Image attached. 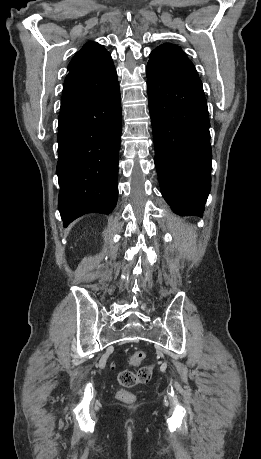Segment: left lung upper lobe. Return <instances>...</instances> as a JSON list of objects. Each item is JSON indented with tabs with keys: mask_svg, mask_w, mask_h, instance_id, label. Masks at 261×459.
<instances>
[{
	"mask_svg": "<svg viewBox=\"0 0 261 459\" xmlns=\"http://www.w3.org/2000/svg\"><path fill=\"white\" fill-rule=\"evenodd\" d=\"M147 65H153L175 74L198 77L193 63L187 58L182 49L170 43H165L153 50Z\"/></svg>",
	"mask_w": 261,
	"mask_h": 459,
	"instance_id": "1",
	"label": "left lung upper lobe"
}]
</instances>
